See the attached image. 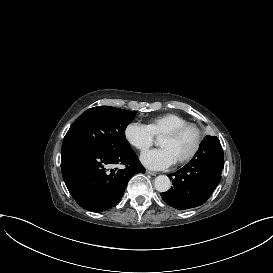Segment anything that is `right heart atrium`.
<instances>
[{
	"instance_id": "obj_1",
	"label": "right heart atrium",
	"mask_w": 273,
	"mask_h": 273,
	"mask_svg": "<svg viewBox=\"0 0 273 273\" xmlns=\"http://www.w3.org/2000/svg\"><path fill=\"white\" fill-rule=\"evenodd\" d=\"M124 135L126 140L139 151H144L154 144V137L144 124L129 123Z\"/></svg>"
}]
</instances>
